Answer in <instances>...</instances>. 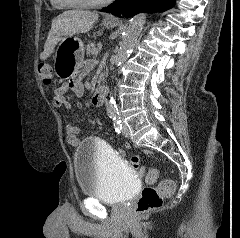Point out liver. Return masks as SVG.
<instances>
[{"label":"liver","mask_w":240,"mask_h":238,"mask_svg":"<svg viewBox=\"0 0 240 238\" xmlns=\"http://www.w3.org/2000/svg\"><path fill=\"white\" fill-rule=\"evenodd\" d=\"M98 17L97 12L83 10H68L59 15L52 21L40 59H47L54 52L57 43L65 37L90 31Z\"/></svg>","instance_id":"obj_1"}]
</instances>
